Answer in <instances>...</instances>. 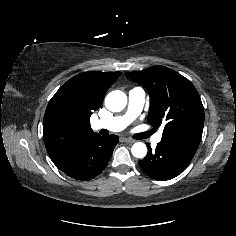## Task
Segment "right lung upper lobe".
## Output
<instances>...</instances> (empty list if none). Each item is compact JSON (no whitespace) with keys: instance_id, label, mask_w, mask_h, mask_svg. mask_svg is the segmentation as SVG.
<instances>
[{"instance_id":"cb5924a9","label":"right lung upper lobe","mask_w":236,"mask_h":236,"mask_svg":"<svg viewBox=\"0 0 236 236\" xmlns=\"http://www.w3.org/2000/svg\"><path fill=\"white\" fill-rule=\"evenodd\" d=\"M120 74L99 71L78 74L52 97L44 115L43 137L55 165L98 135L90 127V116L100 108L106 91Z\"/></svg>"}]
</instances>
